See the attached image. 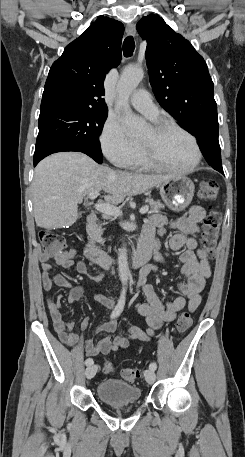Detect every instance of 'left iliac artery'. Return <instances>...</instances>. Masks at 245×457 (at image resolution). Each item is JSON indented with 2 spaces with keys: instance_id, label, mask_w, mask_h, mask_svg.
<instances>
[{
  "instance_id": "1",
  "label": "left iliac artery",
  "mask_w": 245,
  "mask_h": 457,
  "mask_svg": "<svg viewBox=\"0 0 245 457\" xmlns=\"http://www.w3.org/2000/svg\"><path fill=\"white\" fill-rule=\"evenodd\" d=\"M149 368L152 370H156L157 364L155 362L150 363Z\"/></svg>"
}]
</instances>
